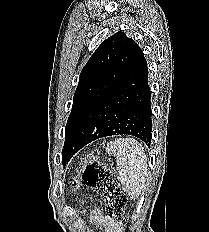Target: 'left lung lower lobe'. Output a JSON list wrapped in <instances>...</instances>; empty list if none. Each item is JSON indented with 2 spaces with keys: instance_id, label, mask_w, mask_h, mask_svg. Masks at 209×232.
I'll return each mask as SVG.
<instances>
[{
  "instance_id": "left-lung-lower-lobe-1",
  "label": "left lung lower lobe",
  "mask_w": 209,
  "mask_h": 232,
  "mask_svg": "<svg viewBox=\"0 0 209 232\" xmlns=\"http://www.w3.org/2000/svg\"><path fill=\"white\" fill-rule=\"evenodd\" d=\"M150 98L147 62L139 48L122 82L92 109L76 130L69 145V160L88 143L112 135H132L149 147L152 138Z\"/></svg>"
}]
</instances>
